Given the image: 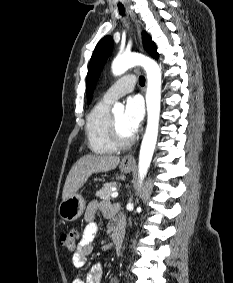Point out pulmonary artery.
Wrapping results in <instances>:
<instances>
[{
	"mask_svg": "<svg viewBox=\"0 0 233 283\" xmlns=\"http://www.w3.org/2000/svg\"><path fill=\"white\" fill-rule=\"evenodd\" d=\"M135 83L136 79L134 75L123 76L106 90L102 99L108 102H114L123 95L131 92L134 89Z\"/></svg>",
	"mask_w": 233,
	"mask_h": 283,
	"instance_id": "e3ab8cb5",
	"label": "pulmonary artery"
}]
</instances>
